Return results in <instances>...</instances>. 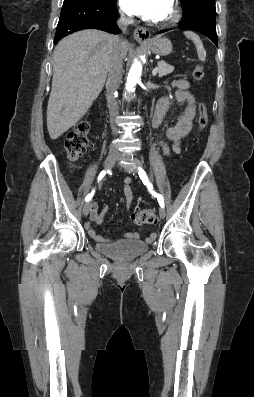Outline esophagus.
Wrapping results in <instances>:
<instances>
[{
  "mask_svg": "<svg viewBox=\"0 0 254 397\" xmlns=\"http://www.w3.org/2000/svg\"><path fill=\"white\" fill-rule=\"evenodd\" d=\"M151 33L150 31L145 28V27H137L134 30V38L139 42V43H147L150 40Z\"/></svg>",
  "mask_w": 254,
  "mask_h": 397,
  "instance_id": "34e87169",
  "label": "esophagus"
}]
</instances>
